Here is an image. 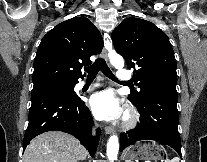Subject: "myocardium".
<instances>
[{"label": "myocardium", "instance_id": "obj_1", "mask_svg": "<svg viewBox=\"0 0 207 162\" xmlns=\"http://www.w3.org/2000/svg\"><path fill=\"white\" fill-rule=\"evenodd\" d=\"M139 119L136 109L129 106L125 109V113L122 119V128L130 129L134 127Z\"/></svg>", "mask_w": 207, "mask_h": 162}]
</instances>
